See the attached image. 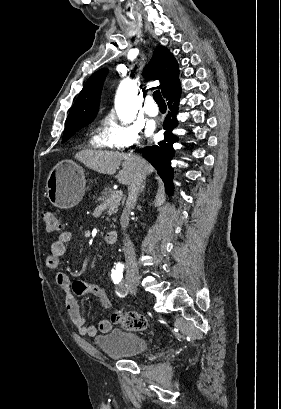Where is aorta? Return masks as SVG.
Masks as SVG:
<instances>
[{
    "label": "aorta",
    "instance_id": "obj_1",
    "mask_svg": "<svg viewBox=\"0 0 281 409\" xmlns=\"http://www.w3.org/2000/svg\"><path fill=\"white\" fill-rule=\"evenodd\" d=\"M135 90L134 84L126 80L121 85L115 103L118 116L124 121H130L135 112Z\"/></svg>",
    "mask_w": 281,
    "mask_h": 409
}]
</instances>
